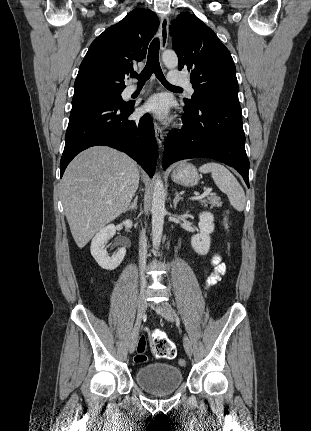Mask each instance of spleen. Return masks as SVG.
Here are the masks:
<instances>
[{"instance_id":"1","label":"spleen","mask_w":311,"mask_h":431,"mask_svg":"<svg viewBox=\"0 0 311 431\" xmlns=\"http://www.w3.org/2000/svg\"><path fill=\"white\" fill-rule=\"evenodd\" d=\"M199 172L201 174H211V178L216 184L217 188L227 194L228 200L238 212H243L246 204V198L243 188H241L239 182H237L235 176L221 166V164H215V162H209V164H203L200 166Z\"/></svg>"}]
</instances>
